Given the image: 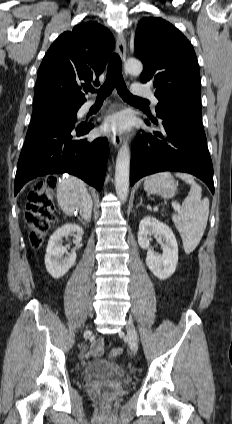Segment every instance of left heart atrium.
<instances>
[{"mask_svg":"<svg viewBox=\"0 0 232 424\" xmlns=\"http://www.w3.org/2000/svg\"><path fill=\"white\" fill-rule=\"evenodd\" d=\"M130 119L125 113H116L107 116L102 124V131L108 134L122 133L128 130Z\"/></svg>","mask_w":232,"mask_h":424,"instance_id":"left-heart-atrium-1","label":"left heart atrium"}]
</instances>
